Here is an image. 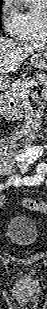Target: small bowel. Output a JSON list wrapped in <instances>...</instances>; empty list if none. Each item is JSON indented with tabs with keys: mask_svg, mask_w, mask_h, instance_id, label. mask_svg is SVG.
Here are the masks:
<instances>
[{
	"mask_svg": "<svg viewBox=\"0 0 47 309\" xmlns=\"http://www.w3.org/2000/svg\"><path fill=\"white\" fill-rule=\"evenodd\" d=\"M17 134L2 140V163L0 172L6 177V180L0 183V190H6L11 187H37L46 182L47 164L39 162L35 166V172L28 174L30 166L43 153L44 146H26L15 151L17 145ZM17 166L19 173H14V166ZM4 200V196H1Z\"/></svg>",
	"mask_w": 47,
	"mask_h": 309,
	"instance_id": "1",
	"label": "small bowel"
}]
</instances>
